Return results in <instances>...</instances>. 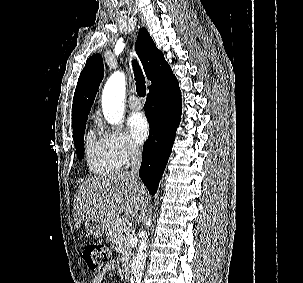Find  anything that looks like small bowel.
Masks as SVG:
<instances>
[{
    "mask_svg": "<svg viewBox=\"0 0 303 283\" xmlns=\"http://www.w3.org/2000/svg\"><path fill=\"white\" fill-rule=\"evenodd\" d=\"M115 268L114 262L107 263L104 268L97 273L93 278L91 283H103L105 275Z\"/></svg>",
    "mask_w": 303,
    "mask_h": 283,
    "instance_id": "small-bowel-1",
    "label": "small bowel"
}]
</instances>
